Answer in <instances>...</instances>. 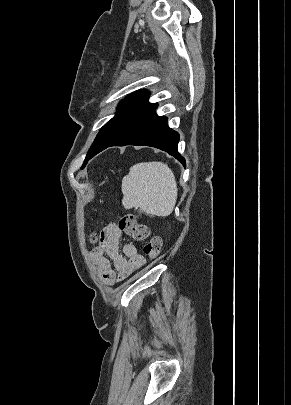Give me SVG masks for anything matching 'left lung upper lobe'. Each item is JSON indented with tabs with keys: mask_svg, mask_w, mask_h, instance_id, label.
<instances>
[{
	"mask_svg": "<svg viewBox=\"0 0 291 405\" xmlns=\"http://www.w3.org/2000/svg\"><path fill=\"white\" fill-rule=\"evenodd\" d=\"M147 94L146 90H141L129 95L124 99L119 107L116 115L109 120L98 133L93 142L88 154L85 158L82 168L87 164L88 160L99 153L102 149L113 143L126 130L131 122L138 105Z\"/></svg>",
	"mask_w": 291,
	"mask_h": 405,
	"instance_id": "1",
	"label": "left lung upper lobe"
}]
</instances>
